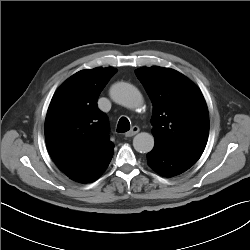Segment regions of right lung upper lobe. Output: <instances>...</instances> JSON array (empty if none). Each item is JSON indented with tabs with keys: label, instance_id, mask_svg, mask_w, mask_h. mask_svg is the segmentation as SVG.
Listing matches in <instances>:
<instances>
[{
	"label": "right lung upper lobe",
	"instance_id": "obj_1",
	"mask_svg": "<svg viewBox=\"0 0 250 250\" xmlns=\"http://www.w3.org/2000/svg\"><path fill=\"white\" fill-rule=\"evenodd\" d=\"M115 68L81 70L55 92L45 121L47 149L57 167L72 178L114 150L108 119L97 107L98 97Z\"/></svg>",
	"mask_w": 250,
	"mask_h": 250
}]
</instances>
